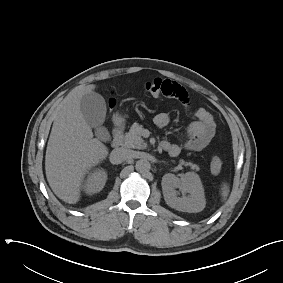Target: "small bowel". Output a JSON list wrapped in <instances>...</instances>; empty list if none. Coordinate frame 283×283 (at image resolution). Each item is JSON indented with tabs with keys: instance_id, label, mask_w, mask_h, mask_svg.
<instances>
[{
	"instance_id": "1",
	"label": "small bowel",
	"mask_w": 283,
	"mask_h": 283,
	"mask_svg": "<svg viewBox=\"0 0 283 283\" xmlns=\"http://www.w3.org/2000/svg\"><path fill=\"white\" fill-rule=\"evenodd\" d=\"M168 98L176 99L188 106L190 103L188 92L184 87L173 80H162V93ZM194 121L187 127L185 140L182 144L163 141L161 148L171 156H177L182 150L200 151L212 141L216 123L211 115L204 108H197L193 112ZM170 122V117L165 112H160L154 117V123L159 128L166 127Z\"/></svg>"
}]
</instances>
